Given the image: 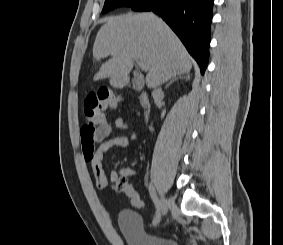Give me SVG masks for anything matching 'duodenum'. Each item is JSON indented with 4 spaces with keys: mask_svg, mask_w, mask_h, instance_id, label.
I'll return each instance as SVG.
<instances>
[{
    "mask_svg": "<svg viewBox=\"0 0 283 245\" xmlns=\"http://www.w3.org/2000/svg\"><path fill=\"white\" fill-rule=\"evenodd\" d=\"M140 105L144 110V117L147 119L149 115V98L145 92H142L140 95Z\"/></svg>",
    "mask_w": 283,
    "mask_h": 245,
    "instance_id": "410a0bca",
    "label": "duodenum"
}]
</instances>
